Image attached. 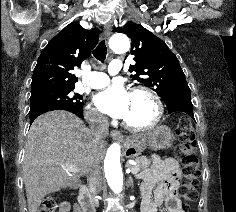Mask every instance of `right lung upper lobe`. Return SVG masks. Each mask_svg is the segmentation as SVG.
Segmentation results:
<instances>
[{
    "mask_svg": "<svg viewBox=\"0 0 236 212\" xmlns=\"http://www.w3.org/2000/svg\"><path fill=\"white\" fill-rule=\"evenodd\" d=\"M99 32L72 22L59 32L41 52L34 69L31 93L49 88L74 87L72 71L88 58L97 44Z\"/></svg>",
    "mask_w": 236,
    "mask_h": 212,
    "instance_id": "right-lung-upper-lobe-1",
    "label": "right lung upper lobe"
}]
</instances>
